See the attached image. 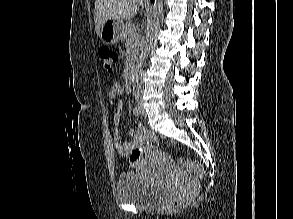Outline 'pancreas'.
Returning <instances> with one entry per match:
<instances>
[{"label":"pancreas","mask_w":293,"mask_h":219,"mask_svg":"<svg viewBox=\"0 0 293 219\" xmlns=\"http://www.w3.org/2000/svg\"><path fill=\"white\" fill-rule=\"evenodd\" d=\"M122 41L124 42L125 46L130 49L132 53V58L134 60L138 52V35L133 23L128 22L125 25V30L122 35Z\"/></svg>","instance_id":"1"}]
</instances>
